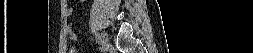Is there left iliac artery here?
<instances>
[{
    "label": "left iliac artery",
    "mask_w": 253,
    "mask_h": 53,
    "mask_svg": "<svg viewBox=\"0 0 253 53\" xmlns=\"http://www.w3.org/2000/svg\"><path fill=\"white\" fill-rule=\"evenodd\" d=\"M93 42L96 43L97 46H102L103 45V42L100 41V36H99L98 32L94 33Z\"/></svg>",
    "instance_id": "left-iliac-artery-1"
}]
</instances>
